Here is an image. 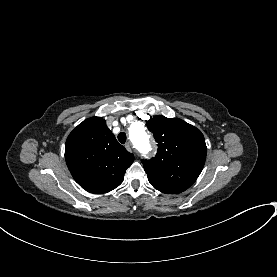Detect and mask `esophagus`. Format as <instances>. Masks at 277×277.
Here are the masks:
<instances>
[{
    "label": "esophagus",
    "instance_id": "1",
    "mask_svg": "<svg viewBox=\"0 0 277 277\" xmlns=\"http://www.w3.org/2000/svg\"><path fill=\"white\" fill-rule=\"evenodd\" d=\"M125 147H126V149H127L128 151H131V144H130V142H127V143L125 144Z\"/></svg>",
    "mask_w": 277,
    "mask_h": 277
}]
</instances>
